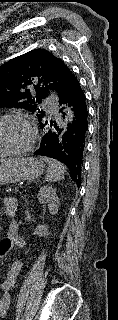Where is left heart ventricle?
<instances>
[{
  "label": "left heart ventricle",
  "instance_id": "obj_1",
  "mask_svg": "<svg viewBox=\"0 0 118 320\" xmlns=\"http://www.w3.org/2000/svg\"><path fill=\"white\" fill-rule=\"evenodd\" d=\"M30 137V130L22 121L6 120L0 123V146L6 150L24 147Z\"/></svg>",
  "mask_w": 118,
  "mask_h": 320
}]
</instances>
